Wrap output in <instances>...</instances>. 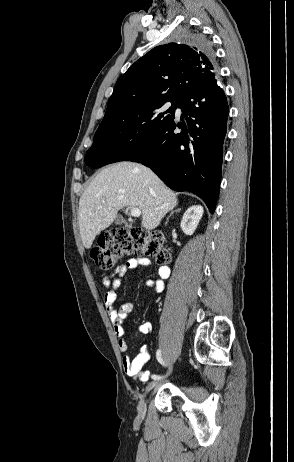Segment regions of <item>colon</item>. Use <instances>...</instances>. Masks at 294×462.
Returning <instances> with one entry per match:
<instances>
[{"mask_svg": "<svg viewBox=\"0 0 294 462\" xmlns=\"http://www.w3.org/2000/svg\"><path fill=\"white\" fill-rule=\"evenodd\" d=\"M161 232H149L142 228L117 227L99 238L91 250V257L102 270L112 269L119 260L129 255L149 256L157 263L166 264L171 256Z\"/></svg>", "mask_w": 294, "mask_h": 462, "instance_id": "colon-1", "label": "colon"}]
</instances>
